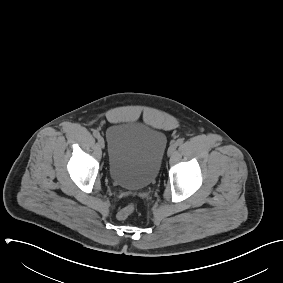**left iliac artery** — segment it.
I'll use <instances>...</instances> for the list:
<instances>
[{
    "label": "left iliac artery",
    "mask_w": 283,
    "mask_h": 283,
    "mask_svg": "<svg viewBox=\"0 0 283 283\" xmlns=\"http://www.w3.org/2000/svg\"><path fill=\"white\" fill-rule=\"evenodd\" d=\"M183 142H184V139L179 138V139L176 141V144H177V145H181V144H183Z\"/></svg>",
    "instance_id": "left-iliac-artery-1"
}]
</instances>
